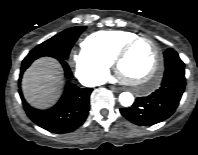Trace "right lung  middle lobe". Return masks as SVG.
<instances>
[{
	"instance_id": "1",
	"label": "right lung middle lobe",
	"mask_w": 198,
	"mask_h": 155,
	"mask_svg": "<svg viewBox=\"0 0 198 155\" xmlns=\"http://www.w3.org/2000/svg\"><path fill=\"white\" fill-rule=\"evenodd\" d=\"M85 28V26L72 27L55 35L31 50L23 62L33 61L42 56L66 60L71 47Z\"/></svg>"
}]
</instances>
